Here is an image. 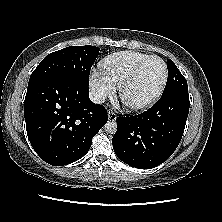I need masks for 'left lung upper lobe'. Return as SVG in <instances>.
Listing matches in <instances>:
<instances>
[{
  "instance_id": "obj_1",
  "label": "left lung upper lobe",
  "mask_w": 222,
  "mask_h": 222,
  "mask_svg": "<svg viewBox=\"0 0 222 222\" xmlns=\"http://www.w3.org/2000/svg\"><path fill=\"white\" fill-rule=\"evenodd\" d=\"M168 78L163 94L172 91H188L187 81L172 60H167ZM162 94V95H163Z\"/></svg>"
}]
</instances>
